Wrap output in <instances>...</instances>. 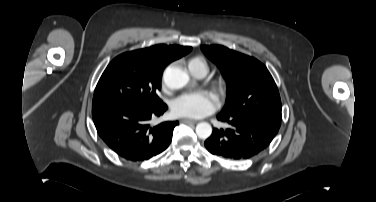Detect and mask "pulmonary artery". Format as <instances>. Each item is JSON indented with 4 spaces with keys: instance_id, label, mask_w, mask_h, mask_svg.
I'll list each match as a JSON object with an SVG mask.
<instances>
[{
    "instance_id": "1",
    "label": "pulmonary artery",
    "mask_w": 376,
    "mask_h": 202,
    "mask_svg": "<svg viewBox=\"0 0 376 202\" xmlns=\"http://www.w3.org/2000/svg\"><path fill=\"white\" fill-rule=\"evenodd\" d=\"M206 71H200V72H198L197 74H195V76H197V77H204L205 75H206Z\"/></svg>"
}]
</instances>
